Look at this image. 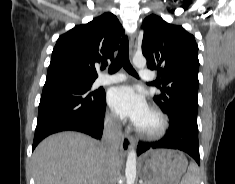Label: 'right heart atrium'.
I'll return each mask as SVG.
<instances>
[{"label": "right heart atrium", "instance_id": "obj_1", "mask_svg": "<svg viewBox=\"0 0 235 184\" xmlns=\"http://www.w3.org/2000/svg\"><path fill=\"white\" fill-rule=\"evenodd\" d=\"M107 125H108V128L111 131H113L114 133H118L119 132L118 124L114 120H112L111 118L107 119Z\"/></svg>", "mask_w": 235, "mask_h": 184}]
</instances>
